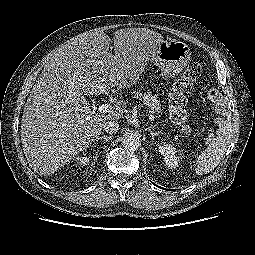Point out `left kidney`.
Segmentation results:
<instances>
[{"instance_id":"1","label":"left kidney","mask_w":255,"mask_h":255,"mask_svg":"<svg viewBox=\"0 0 255 255\" xmlns=\"http://www.w3.org/2000/svg\"><path fill=\"white\" fill-rule=\"evenodd\" d=\"M159 152L164 157L165 163L169 168H176L179 165V157L177 149L168 143L159 146Z\"/></svg>"}]
</instances>
